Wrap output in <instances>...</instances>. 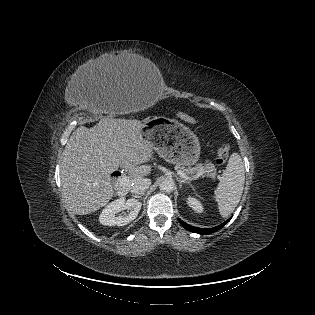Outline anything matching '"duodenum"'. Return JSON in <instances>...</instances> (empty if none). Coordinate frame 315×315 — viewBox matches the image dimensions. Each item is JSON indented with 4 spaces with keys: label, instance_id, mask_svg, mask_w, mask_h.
Instances as JSON below:
<instances>
[{
    "label": "duodenum",
    "instance_id": "duodenum-1",
    "mask_svg": "<svg viewBox=\"0 0 315 315\" xmlns=\"http://www.w3.org/2000/svg\"><path fill=\"white\" fill-rule=\"evenodd\" d=\"M114 178L118 179L119 177H121V173L120 172H115L112 175Z\"/></svg>",
    "mask_w": 315,
    "mask_h": 315
}]
</instances>
